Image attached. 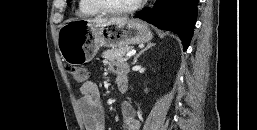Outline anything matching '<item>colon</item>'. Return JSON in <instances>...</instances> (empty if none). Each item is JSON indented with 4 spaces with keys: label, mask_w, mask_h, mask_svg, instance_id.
Wrapping results in <instances>:
<instances>
[{
    "label": "colon",
    "mask_w": 257,
    "mask_h": 130,
    "mask_svg": "<svg viewBox=\"0 0 257 130\" xmlns=\"http://www.w3.org/2000/svg\"><path fill=\"white\" fill-rule=\"evenodd\" d=\"M67 70L71 75V77L77 83H84L88 78V72L85 68L78 67V66H69Z\"/></svg>",
    "instance_id": "obj_1"
}]
</instances>
